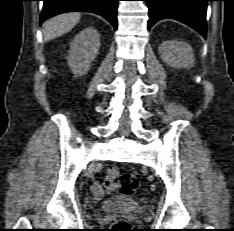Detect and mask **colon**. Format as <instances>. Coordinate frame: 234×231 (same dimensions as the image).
<instances>
[{
    "instance_id": "1",
    "label": "colon",
    "mask_w": 234,
    "mask_h": 231,
    "mask_svg": "<svg viewBox=\"0 0 234 231\" xmlns=\"http://www.w3.org/2000/svg\"><path fill=\"white\" fill-rule=\"evenodd\" d=\"M114 177L118 179L119 182V192L122 195L131 196L135 194L138 188V181L136 179V176L132 172H122L119 173L116 169L114 173ZM116 231H128L129 226L127 222L121 220L116 223L115 225Z\"/></svg>"
}]
</instances>
